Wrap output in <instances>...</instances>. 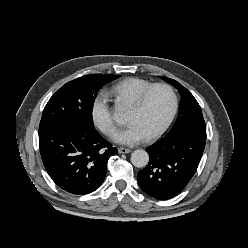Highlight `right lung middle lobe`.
<instances>
[{
    "label": "right lung middle lobe",
    "mask_w": 248,
    "mask_h": 248,
    "mask_svg": "<svg viewBox=\"0 0 248 248\" xmlns=\"http://www.w3.org/2000/svg\"><path fill=\"white\" fill-rule=\"evenodd\" d=\"M119 75L89 74L62 86L46 104L39 125V136L62 124L94 128L92 109L99 89Z\"/></svg>",
    "instance_id": "1"
}]
</instances>
